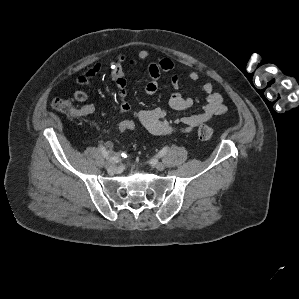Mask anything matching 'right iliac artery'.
<instances>
[{
	"label": "right iliac artery",
	"instance_id": "82829eb1",
	"mask_svg": "<svg viewBox=\"0 0 299 299\" xmlns=\"http://www.w3.org/2000/svg\"><path fill=\"white\" fill-rule=\"evenodd\" d=\"M99 148L102 152V155L110 162L117 163L119 161V157L117 156H110L109 152L106 150V148L103 145H99Z\"/></svg>",
	"mask_w": 299,
	"mask_h": 299
}]
</instances>
